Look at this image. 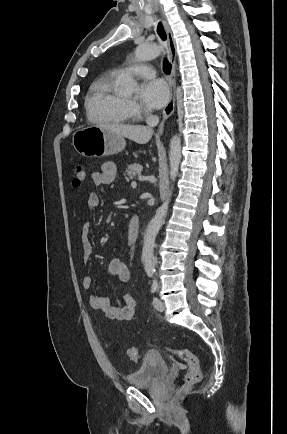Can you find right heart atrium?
Here are the masks:
<instances>
[{"instance_id":"d8ad5b80","label":"right heart atrium","mask_w":287,"mask_h":434,"mask_svg":"<svg viewBox=\"0 0 287 434\" xmlns=\"http://www.w3.org/2000/svg\"><path fill=\"white\" fill-rule=\"evenodd\" d=\"M127 105L132 115H138L141 112V107L135 101H128Z\"/></svg>"}]
</instances>
